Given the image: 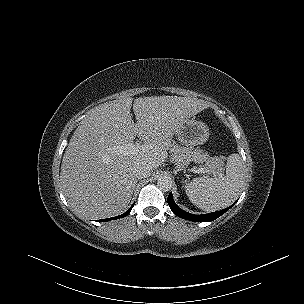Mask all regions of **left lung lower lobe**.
Segmentation results:
<instances>
[{"instance_id": "0a47b994", "label": "left lung lower lobe", "mask_w": 304, "mask_h": 304, "mask_svg": "<svg viewBox=\"0 0 304 304\" xmlns=\"http://www.w3.org/2000/svg\"><path fill=\"white\" fill-rule=\"evenodd\" d=\"M168 204L172 210V212L177 215L180 218L186 219V220H190V221H195V222H209V221H213L215 219H217L218 217H220L222 214H224L228 209H230V207L225 208L223 210L217 211V212H212V213H208V214H203V215H195V214H191L188 213L182 209H180L174 202L173 197H172V193L169 194L168 196Z\"/></svg>"}]
</instances>
